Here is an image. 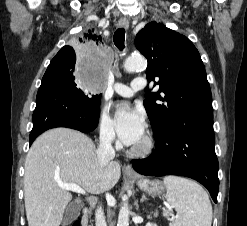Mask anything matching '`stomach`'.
Segmentation results:
<instances>
[{
  "mask_svg": "<svg viewBox=\"0 0 247 226\" xmlns=\"http://www.w3.org/2000/svg\"><path fill=\"white\" fill-rule=\"evenodd\" d=\"M137 185L144 192L152 196H162L165 192L163 183L159 180L137 179Z\"/></svg>",
  "mask_w": 247,
  "mask_h": 226,
  "instance_id": "obj_1",
  "label": "stomach"
}]
</instances>
